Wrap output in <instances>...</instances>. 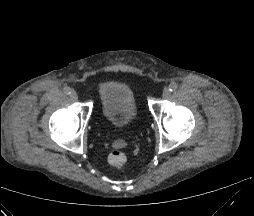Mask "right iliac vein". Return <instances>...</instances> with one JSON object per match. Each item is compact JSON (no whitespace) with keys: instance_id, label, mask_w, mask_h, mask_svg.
<instances>
[{"instance_id":"1","label":"right iliac vein","mask_w":254,"mask_h":216,"mask_svg":"<svg viewBox=\"0 0 254 216\" xmlns=\"http://www.w3.org/2000/svg\"><path fill=\"white\" fill-rule=\"evenodd\" d=\"M70 97L73 99V100H76L78 98V95L76 92H72Z\"/></svg>"}]
</instances>
